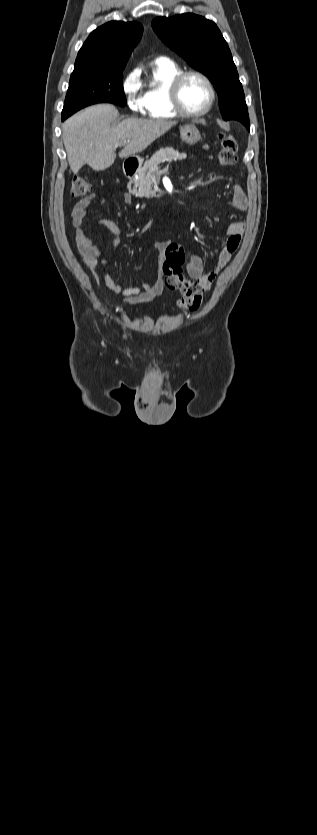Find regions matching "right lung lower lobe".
<instances>
[{"label": "right lung lower lobe", "instance_id": "right-lung-lower-lobe-1", "mask_svg": "<svg viewBox=\"0 0 317 835\" xmlns=\"http://www.w3.org/2000/svg\"><path fill=\"white\" fill-rule=\"evenodd\" d=\"M65 119H66L65 117H62V121H64Z\"/></svg>", "mask_w": 317, "mask_h": 835}]
</instances>
